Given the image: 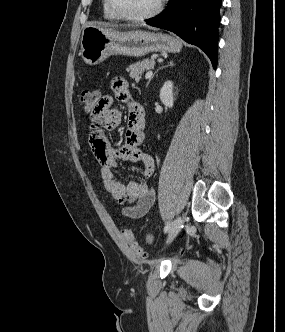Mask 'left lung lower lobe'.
Masks as SVG:
<instances>
[{
  "instance_id": "left-lung-lower-lobe-1",
  "label": "left lung lower lobe",
  "mask_w": 285,
  "mask_h": 332,
  "mask_svg": "<svg viewBox=\"0 0 285 332\" xmlns=\"http://www.w3.org/2000/svg\"><path fill=\"white\" fill-rule=\"evenodd\" d=\"M220 6L221 0H170L166 10L145 21L200 47L216 69Z\"/></svg>"
}]
</instances>
